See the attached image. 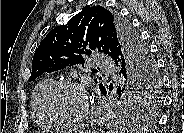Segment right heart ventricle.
Listing matches in <instances>:
<instances>
[{"label":"right heart ventricle","instance_id":"obj_1","mask_svg":"<svg viewBox=\"0 0 184 133\" xmlns=\"http://www.w3.org/2000/svg\"><path fill=\"white\" fill-rule=\"evenodd\" d=\"M55 82L52 77L43 79L35 88L32 96V113L37 123L43 127L54 125L43 109V97L47 89Z\"/></svg>","mask_w":184,"mask_h":133}]
</instances>
